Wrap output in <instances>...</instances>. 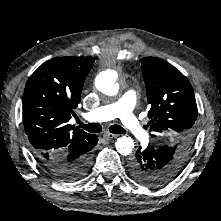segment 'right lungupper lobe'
<instances>
[{
	"instance_id": "right-lung-upper-lobe-1",
	"label": "right lung upper lobe",
	"mask_w": 221,
	"mask_h": 221,
	"mask_svg": "<svg viewBox=\"0 0 221 221\" xmlns=\"http://www.w3.org/2000/svg\"><path fill=\"white\" fill-rule=\"evenodd\" d=\"M93 63L90 57H55L30 76L23 95V123L34 154L64 158L89 146L94 135L68 121Z\"/></svg>"
}]
</instances>
